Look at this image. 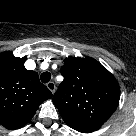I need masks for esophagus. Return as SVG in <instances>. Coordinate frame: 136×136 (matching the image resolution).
<instances>
[{
  "instance_id": "obj_1",
  "label": "esophagus",
  "mask_w": 136,
  "mask_h": 136,
  "mask_svg": "<svg viewBox=\"0 0 136 136\" xmlns=\"http://www.w3.org/2000/svg\"><path fill=\"white\" fill-rule=\"evenodd\" d=\"M46 86H47V88H48L52 93L55 92L56 86H55V83H54V82H48Z\"/></svg>"
}]
</instances>
